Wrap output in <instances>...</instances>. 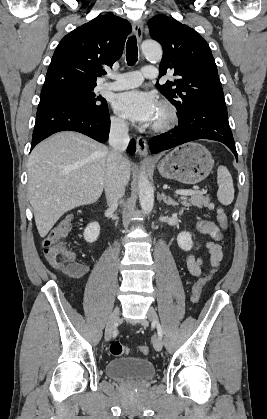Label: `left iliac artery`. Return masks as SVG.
Instances as JSON below:
<instances>
[{
    "mask_svg": "<svg viewBox=\"0 0 267 419\" xmlns=\"http://www.w3.org/2000/svg\"><path fill=\"white\" fill-rule=\"evenodd\" d=\"M157 325L158 335L162 338L163 330L158 322L155 323Z\"/></svg>",
    "mask_w": 267,
    "mask_h": 419,
    "instance_id": "left-iliac-artery-1",
    "label": "left iliac artery"
}]
</instances>
